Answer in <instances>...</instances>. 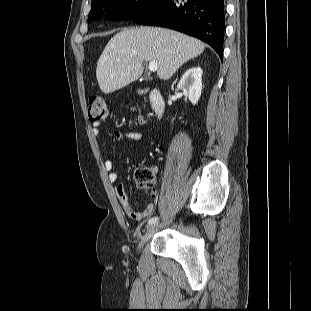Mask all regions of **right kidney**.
<instances>
[{"label":"right kidney","mask_w":311,"mask_h":311,"mask_svg":"<svg viewBox=\"0 0 311 311\" xmlns=\"http://www.w3.org/2000/svg\"><path fill=\"white\" fill-rule=\"evenodd\" d=\"M202 73L203 71L200 67L188 69L177 86L194 105L198 102L202 92Z\"/></svg>","instance_id":"1"}]
</instances>
